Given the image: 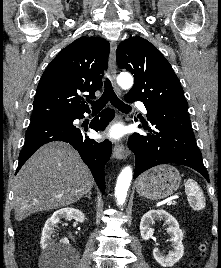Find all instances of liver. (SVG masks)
Masks as SVG:
<instances>
[{
	"instance_id": "obj_1",
	"label": "liver",
	"mask_w": 221,
	"mask_h": 268,
	"mask_svg": "<svg viewBox=\"0 0 221 268\" xmlns=\"http://www.w3.org/2000/svg\"><path fill=\"white\" fill-rule=\"evenodd\" d=\"M93 185L90 170L69 144L44 145L15 177V219L22 221L35 212L71 205L86 195Z\"/></svg>"
}]
</instances>
